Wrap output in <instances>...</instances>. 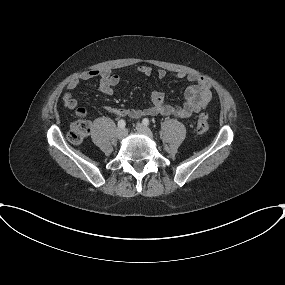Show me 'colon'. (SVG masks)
<instances>
[{"label": "colon", "instance_id": "1", "mask_svg": "<svg viewBox=\"0 0 285 285\" xmlns=\"http://www.w3.org/2000/svg\"><path fill=\"white\" fill-rule=\"evenodd\" d=\"M90 123L85 119L75 120L70 127L68 133V140L75 144H81L90 133ZM209 129L208 115L201 113L197 119L196 130L200 134H204Z\"/></svg>", "mask_w": 285, "mask_h": 285}]
</instances>
